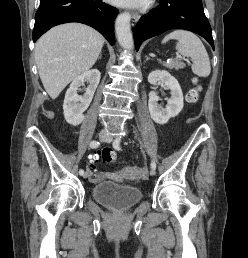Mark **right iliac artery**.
<instances>
[{"mask_svg": "<svg viewBox=\"0 0 248 258\" xmlns=\"http://www.w3.org/2000/svg\"><path fill=\"white\" fill-rule=\"evenodd\" d=\"M99 145H100V142H98V141H96V140H93V141L90 142V147H91V148H97V147H99ZM79 174H80V175H83V174H84V170H83V169H80V170H79Z\"/></svg>", "mask_w": 248, "mask_h": 258, "instance_id": "right-iliac-artery-1", "label": "right iliac artery"}]
</instances>
